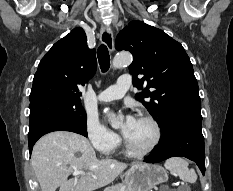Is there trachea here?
<instances>
[{
  "instance_id": "trachea-1",
  "label": "trachea",
  "mask_w": 233,
  "mask_h": 191,
  "mask_svg": "<svg viewBox=\"0 0 233 191\" xmlns=\"http://www.w3.org/2000/svg\"><path fill=\"white\" fill-rule=\"evenodd\" d=\"M98 60L102 72H106L110 67V55L107 47L102 44L98 48Z\"/></svg>"
}]
</instances>
